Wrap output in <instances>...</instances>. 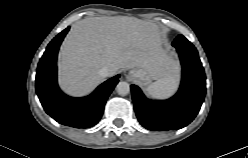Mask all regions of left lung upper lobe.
Wrapping results in <instances>:
<instances>
[{
    "label": "left lung upper lobe",
    "mask_w": 248,
    "mask_h": 158,
    "mask_svg": "<svg viewBox=\"0 0 248 158\" xmlns=\"http://www.w3.org/2000/svg\"><path fill=\"white\" fill-rule=\"evenodd\" d=\"M177 39H179V40H185L186 38H185L184 36H182V35H179V36L177 37Z\"/></svg>",
    "instance_id": "obj_1"
}]
</instances>
